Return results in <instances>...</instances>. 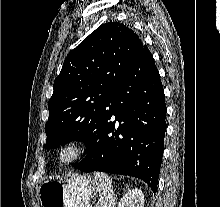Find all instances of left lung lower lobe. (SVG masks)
I'll use <instances>...</instances> for the list:
<instances>
[{"mask_svg": "<svg viewBox=\"0 0 220 207\" xmlns=\"http://www.w3.org/2000/svg\"><path fill=\"white\" fill-rule=\"evenodd\" d=\"M165 118L160 75L148 47L141 44L86 141V157L73 166L84 172L137 177L156 192L164 150Z\"/></svg>", "mask_w": 220, "mask_h": 207, "instance_id": "left-lung-lower-lobe-1", "label": "left lung lower lobe"}]
</instances>
